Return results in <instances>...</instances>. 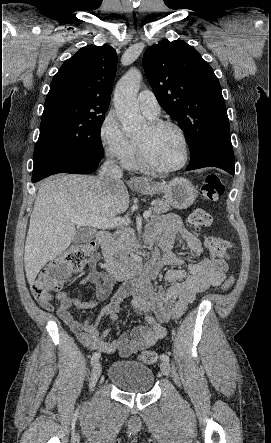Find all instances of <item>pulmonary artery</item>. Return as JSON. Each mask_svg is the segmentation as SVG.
<instances>
[{"instance_id":"1","label":"pulmonary artery","mask_w":271,"mask_h":443,"mask_svg":"<svg viewBox=\"0 0 271 443\" xmlns=\"http://www.w3.org/2000/svg\"><path fill=\"white\" fill-rule=\"evenodd\" d=\"M137 104L142 113L148 118H154L160 112L158 101L150 90H143L138 94Z\"/></svg>"}]
</instances>
